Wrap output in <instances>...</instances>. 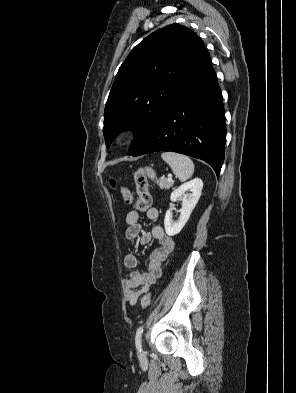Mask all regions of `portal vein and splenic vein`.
<instances>
[{"label": "portal vein and splenic vein", "instance_id": "18ae733b", "mask_svg": "<svg viewBox=\"0 0 296 393\" xmlns=\"http://www.w3.org/2000/svg\"><path fill=\"white\" fill-rule=\"evenodd\" d=\"M167 180H168L169 182H173V179H172L171 177H169Z\"/></svg>", "mask_w": 296, "mask_h": 393}]
</instances>
